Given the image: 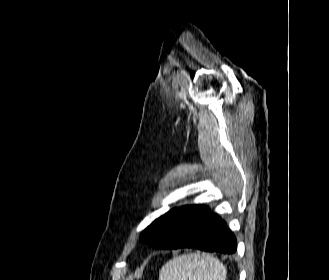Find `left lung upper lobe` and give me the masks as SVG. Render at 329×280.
<instances>
[{"label": "left lung upper lobe", "instance_id": "left-lung-upper-lobe-1", "mask_svg": "<svg viewBox=\"0 0 329 280\" xmlns=\"http://www.w3.org/2000/svg\"><path fill=\"white\" fill-rule=\"evenodd\" d=\"M167 215L168 213L161 216L147 227L142 232L140 240L156 248L165 247L169 243V237L162 233V228L160 226L164 223Z\"/></svg>", "mask_w": 329, "mask_h": 280}]
</instances>
